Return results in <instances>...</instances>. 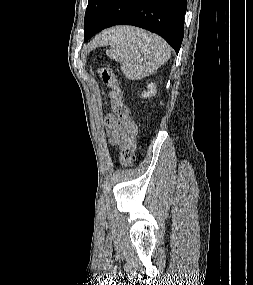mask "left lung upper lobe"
<instances>
[{"label":"left lung upper lobe","instance_id":"1","mask_svg":"<svg viewBox=\"0 0 253 285\" xmlns=\"http://www.w3.org/2000/svg\"><path fill=\"white\" fill-rule=\"evenodd\" d=\"M110 0H88V6L84 19V34L93 28Z\"/></svg>","mask_w":253,"mask_h":285}]
</instances>
